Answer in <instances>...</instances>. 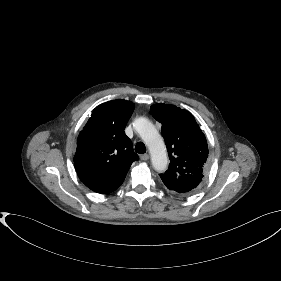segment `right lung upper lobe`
I'll use <instances>...</instances> for the list:
<instances>
[{"instance_id":"cb5924a9","label":"right lung upper lobe","mask_w":281,"mask_h":281,"mask_svg":"<svg viewBox=\"0 0 281 281\" xmlns=\"http://www.w3.org/2000/svg\"><path fill=\"white\" fill-rule=\"evenodd\" d=\"M134 103L112 100L97 106L77 140L74 157L80 180L91 190L108 194L124 181L131 164L138 160L124 129Z\"/></svg>"}]
</instances>
